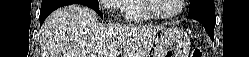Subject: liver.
<instances>
[{"label": "liver", "instance_id": "liver-1", "mask_svg": "<svg viewBox=\"0 0 249 57\" xmlns=\"http://www.w3.org/2000/svg\"><path fill=\"white\" fill-rule=\"evenodd\" d=\"M159 27L102 24L86 6L54 11L41 29V57H148ZM113 54L114 56H109Z\"/></svg>", "mask_w": 249, "mask_h": 57}]
</instances>
